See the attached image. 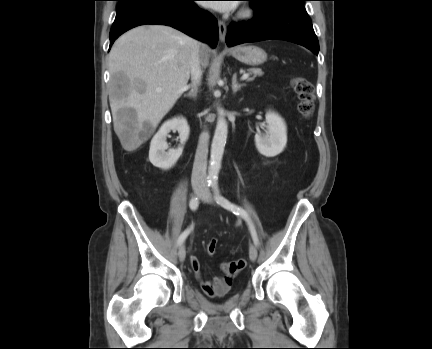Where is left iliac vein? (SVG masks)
I'll return each instance as SVG.
<instances>
[{
	"label": "left iliac vein",
	"instance_id": "1",
	"mask_svg": "<svg viewBox=\"0 0 432 349\" xmlns=\"http://www.w3.org/2000/svg\"><path fill=\"white\" fill-rule=\"evenodd\" d=\"M201 199L204 202H207V203H213L214 202L213 196H212L211 192L208 189L204 190V192H203V194L201 196ZM257 256H258V250H257L255 244L251 243L250 246H249V257H250V260L253 261V262L256 261Z\"/></svg>",
	"mask_w": 432,
	"mask_h": 349
}]
</instances>
